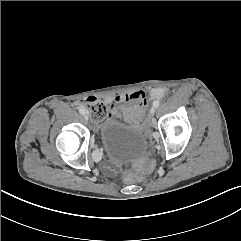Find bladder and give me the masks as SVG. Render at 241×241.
<instances>
[{
	"label": "bladder",
	"mask_w": 241,
	"mask_h": 241,
	"mask_svg": "<svg viewBox=\"0 0 241 241\" xmlns=\"http://www.w3.org/2000/svg\"><path fill=\"white\" fill-rule=\"evenodd\" d=\"M101 134L107 156L115 162L138 159L149 148L148 139L142 130L121 122L116 116L104 120Z\"/></svg>",
	"instance_id": "31cf9c89"
}]
</instances>
